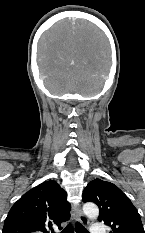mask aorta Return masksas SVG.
Listing matches in <instances>:
<instances>
[{
  "label": "aorta",
  "instance_id": "1",
  "mask_svg": "<svg viewBox=\"0 0 145 233\" xmlns=\"http://www.w3.org/2000/svg\"><path fill=\"white\" fill-rule=\"evenodd\" d=\"M84 214L90 219H97L99 215V208L94 203H86L83 205Z\"/></svg>",
  "mask_w": 145,
  "mask_h": 233
}]
</instances>
